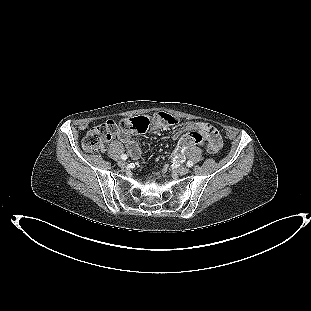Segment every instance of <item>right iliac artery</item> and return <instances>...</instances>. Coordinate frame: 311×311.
<instances>
[{
	"mask_svg": "<svg viewBox=\"0 0 311 311\" xmlns=\"http://www.w3.org/2000/svg\"><path fill=\"white\" fill-rule=\"evenodd\" d=\"M127 158H128V157H127L126 154H122V155H121V159H122V160H126Z\"/></svg>",
	"mask_w": 311,
	"mask_h": 311,
	"instance_id": "1",
	"label": "right iliac artery"
}]
</instances>
